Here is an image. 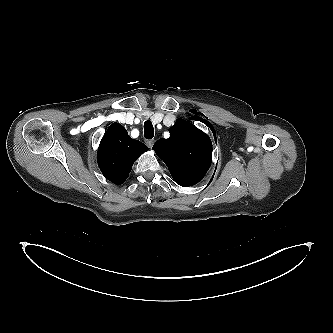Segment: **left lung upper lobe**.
<instances>
[{"instance_id": "left-lung-upper-lobe-1", "label": "left lung upper lobe", "mask_w": 333, "mask_h": 333, "mask_svg": "<svg viewBox=\"0 0 333 333\" xmlns=\"http://www.w3.org/2000/svg\"><path fill=\"white\" fill-rule=\"evenodd\" d=\"M169 132L170 137L159 139L153 149L165 162L177 184L183 187L197 184L211 165L210 138L182 119H178Z\"/></svg>"}]
</instances>
